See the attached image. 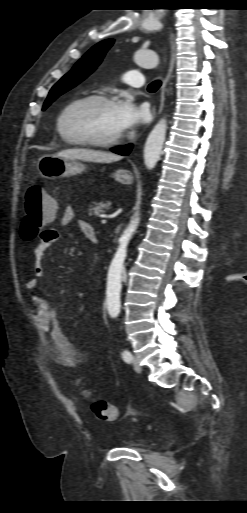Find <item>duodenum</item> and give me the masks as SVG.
Returning a JSON list of instances; mask_svg holds the SVG:
<instances>
[{
	"label": "duodenum",
	"instance_id": "410a0bca",
	"mask_svg": "<svg viewBox=\"0 0 247 513\" xmlns=\"http://www.w3.org/2000/svg\"><path fill=\"white\" fill-rule=\"evenodd\" d=\"M89 240L92 241L93 243H97L98 239L96 237V235L94 233L90 234L88 236Z\"/></svg>",
	"mask_w": 247,
	"mask_h": 513
}]
</instances>
